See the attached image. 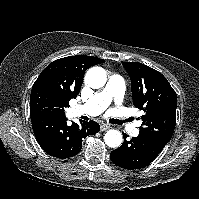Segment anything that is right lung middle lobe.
Listing matches in <instances>:
<instances>
[{"label":"right lung middle lobe","mask_w":199,"mask_h":199,"mask_svg":"<svg viewBox=\"0 0 199 199\" xmlns=\"http://www.w3.org/2000/svg\"><path fill=\"white\" fill-rule=\"evenodd\" d=\"M30 111L36 114L58 115V100L49 93H39L30 100Z\"/></svg>","instance_id":"right-lung-middle-lobe-1"}]
</instances>
